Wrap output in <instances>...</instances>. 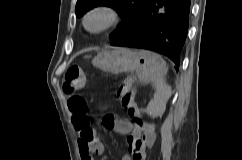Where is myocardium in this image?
I'll return each mask as SVG.
<instances>
[{"label": "myocardium", "mask_w": 242, "mask_h": 160, "mask_svg": "<svg viewBox=\"0 0 242 160\" xmlns=\"http://www.w3.org/2000/svg\"><path fill=\"white\" fill-rule=\"evenodd\" d=\"M98 13L105 14L106 21L101 27L97 29H92L89 26V20L93 15ZM120 22L121 14L119 10L116 7L109 4H98L91 7L86 11L82 20L85 30L92 35H101L103 33H106L111 29L115 28L116 26H118Z\"/></svg>", "instance_id": "1"}]
</instances>
